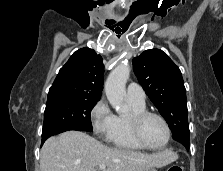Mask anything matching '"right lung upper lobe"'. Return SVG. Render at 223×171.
I'll return each mask as SVG.
<instances>
[{"mask_svg": "<svg viewBox=\"0 0 223 171\" xmlns=\"http://www.w3.org/2000/svg\"><path fill=\"white\" fill-rule=\"evenodd\" d=\"M103 73L102 57L93 49H79L60 69L49 89L48 99L65 96L100 99Z\"/></svg>", "mask_w": 223, "mask_h": 171, "instance_id": "1", "label": "right lung upper lobe"}]
</instances>
